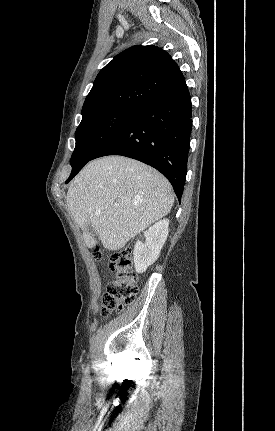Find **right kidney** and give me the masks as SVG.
I'll return each instance as SVG.
<instances>
[{
    "label": "right kidney",
    "mask_w": 275,
    "mask_h": 431,
    "mask_svg": "<svg viewBox=\"0 0 275 431\" xmlns=\"http://www.w3.org/2000/svg\"><path fill=\"white\" fill-rule=\"evenodd\" d=\"M168 226V219L160 220L144 232L145 242H136L133 255L137 273L145 272L159 257L168 236Z\"/></svg>",
    "instance_id": "ca27d5eb"
}]
</instances>
